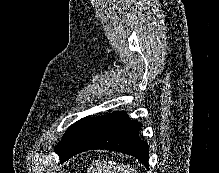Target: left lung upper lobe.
Returning a JSON list of instances; mask_svg holds the SVG:
<instances>
[{
	"instance_id": "obj_1",
	"label": "left lung upper lobe",
	"mask_w": 219,
	"mask_h": 173,
	"mask_svg": "<svg viewBox=\"0 0 219 173\" xmlns=\"http://www.w3.org/2000/svg\"><path fill=\"white\" fill-rule=\"evenodd\" d=\"M91 116H87L83 119H80L73 125H71L65 134L62 137V141L59 145L56 146L55 150L58 155L61 157L73 144L76 142L88 122L91 120Z\"/></svg>"
}]
</instances>
